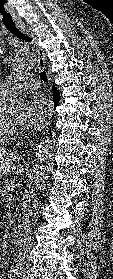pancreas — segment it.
Instances as JSON below:
<instances>
[{
	"label": "pancreas",
	"instance_id": "1",
	"mask_svg": "<svg viewBox=\"0 0 113 279\" xmlns=\"http://www.w3.org/2000/svg\"><path fill=\"white\" fill-rule=\"evenodd\" d=\"M12 187L7 181L4 182V186L0 188V197L4 195H8L9 189Z\"/></svg>",
	"mask_w": 113,
	"mask_h": 279
}]
</instances>
